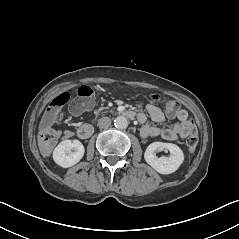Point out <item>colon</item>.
Returning <instances> with one entry per match:
<instances>
[{"mask_svg": "<svg viewBox=\"0 0 239 239\" xmlns=\"http://www.w3.org/2000/svg\"><path fill=\"white\" fill-rule=\"evenodd\" d=\"M69 94L63 92L56 96L48 108L46 109L40 129V137L42 139L47 138V131L52 128L53 123L58 118L61 108L68 102ZM152 99L155 101H160L158 95H153ZM94 103V94L90 86L82 85L77 90V98L71 104V111L75 114L81 113L85 110L90 109ZM165 112L167 115H174L178 111V105L174 101H166L164 104ZM187 147L190 152L195 151L198 144V135L196 131H193L187 138L186 141Z\"/></svg>", "mask_w": 239, "mask_h": 239, "instance_id": "obj_1", "label": "colon"}]
</instances>
